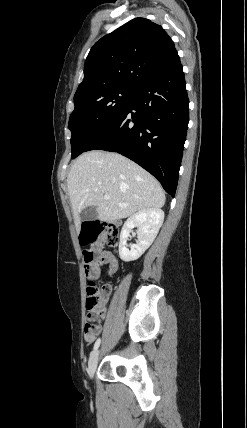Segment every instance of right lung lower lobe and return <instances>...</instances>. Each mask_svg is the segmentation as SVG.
<instances>
[{
	"mask_svg": "<svg viewBox=\"0 0 247 428\" xmlns=\"http://www.w3.org/2000/svg\"><path fill=\"white\" fill-rule=\"evenodd\" d=\"M188 122L189 100L178 59L142 85L86 151L99 149L128 157L174 197Z\"/></svg>",
	"mask_w": 247,
	"mask_h": 428,
	"instance_id": "obj_1",
	"label": "right lung lower lobe"
}]
</instances>
